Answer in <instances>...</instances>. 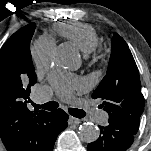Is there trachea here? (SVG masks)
I'll return each instance as SVG.
<instances>
[{"label": "trachea", "instance_id": "1", "mask_svg": "<svg viewBox=\"0 0 151 151\" xmlns=\"http://www.w3.org/2000/svg\"><path fill=\"white\" fill-rule=\"evenodd\" d=\"M58 106H59V104L55 101H50L43 105L34 104V108L37 110L42 108L45 110L52 111V110H55L56 108H58ZM69 113L76 118H83L86 115L85 111L80 110V109H75V108H69Z\"/></svg>", "mask_w": 151, "mask_h": 151}]
</instances>
